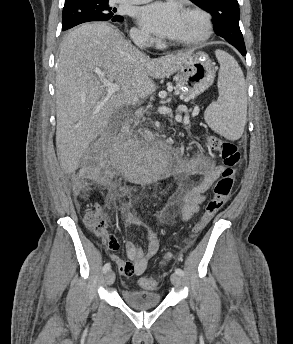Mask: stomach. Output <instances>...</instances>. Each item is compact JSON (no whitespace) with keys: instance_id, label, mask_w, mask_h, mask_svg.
Listing matches in <instances>:
<instances>
[{"instance_id":"1","label":"stomach","mask_w":293,"mask_h":344,"mask_svg":"<svg viewBox=\"0 0 293 344\" xmlns=\"http://www.w3.org/2000/svg\"><path fill=\"white\" fill-rule=\"evenodd\" d=\"M215 71L208 55L203 52L191 54L176 71V86L188 97L197 96L212 85Z\"/></svg>"}]
</instances>
